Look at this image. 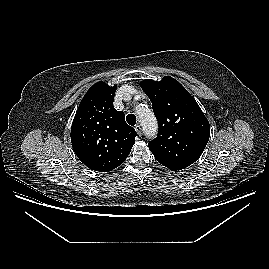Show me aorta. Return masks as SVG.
I'll use <instances>...</instances> for the list:
<instances>
[{
    "label": "aorta",
    "mask_w": 269,
    "mask_h": 269,
    "mask_svg": "<svg viewBox=\"0 0 269 269\" xmlns=\"http://www.w3.org/2000/svg\"><path fill=\"white\" fill-rule=\"evenodd\" d=\"M145 135L153 137L157 132V120L154 113L148 107H139L137 109Z\"/></svg>",
    "instance_id": "762f6f07"
}]
</instances>
